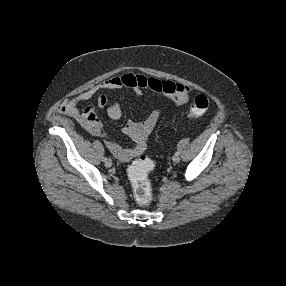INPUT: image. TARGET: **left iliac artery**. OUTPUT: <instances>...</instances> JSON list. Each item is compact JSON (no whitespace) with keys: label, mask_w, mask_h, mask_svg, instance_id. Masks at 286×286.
<instances>
[{"label":"left iliac artery","mask_w":286,"mask_h":286,"mask_svg":"<svg viewBox=\"0 0 286 286\" xmlns=\"http://www.w3.org/2000/svg\"><path fill=\"white\" fill-rule=\"evenodd\" d=\"M179 154H180L179 152H176V153H175V155H179Z\"/></svg>","instance_id":"1"}]
</instances>
